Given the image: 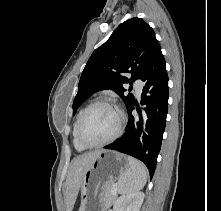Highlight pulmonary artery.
<instances>
[{
	"instance_id": "e3ab8cb5",
	"label": "pulmonary artery",
	"mask_w": 221,
	"mask_h": 211,
	"mask_svg": "<svg viewBox=\"0 0 221 211\" xmlns=\"http://www.w3.org/2000/svg\"><path fill=\"white\" fill-rule=\"evenodd\" d=\"M134 87H135V90H136V94L138 96H140L141 93H142V82L140 80H136L135 83H134Z\"/></svg>"
}]
</instances>
